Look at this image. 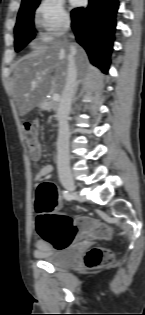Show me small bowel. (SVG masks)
Returning <instances> with one entry per match:
<instances>
[{
  "instance_id": "small-bowel-1",
  "label": "small bowel",
  "mask_w": 145,
  "mask_h": 315,
  "mask_svg": "<svg viewBox=\"0 0 145 315\" xmlns=\"http://www.w3.org/2000/svg\"><path fill=\"white\" fill-rule=\"evenodd\" d=\"M53 173V166L52 165H45L43 166L39 172L37 173L36 179H41L44 177H48ZM59 204H61V200L59 199ZM54 245L50 242H47L42 239H38L35 243L34 253L37 257H46L53 253Z\"/></svg>"
}]
</instances>
